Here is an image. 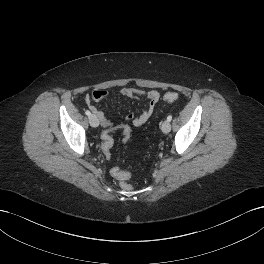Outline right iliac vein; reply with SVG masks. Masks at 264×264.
<instances>
[{"mask_svg":"<svg viewBox=\"0 0 264 264\" xmlns=\"http://www.w3.org/2000/svg\"><path fill=\"white\" fill-rule=\"evenodd\" d=\"M89 123L92 127H98L99 120L97 119V117L94 114H92L89 116Z\"/></svg>","mask_w":264,"mask_h":264,"instance_id":"1","label":"right iliac vein"}]
</instances>
